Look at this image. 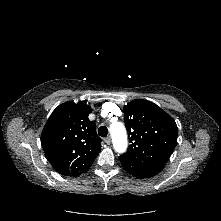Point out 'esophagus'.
<instances>
[{
    "mask_svg": "<svg viewBox=\"0 0 221 221\" xmlns=\"http://www.w3.org/2000/svg\"><path fill=\"white\" fill-rule=\"evenodd\" d=\"M105 143L110 145L111 144V137L110 136H107L105 139H104Z\"/></svg>",
    "mask_w": 221,
    "mask_h": 221,
    "instance_id": "1",
    "label": "esophagus"
}]
</instances>
